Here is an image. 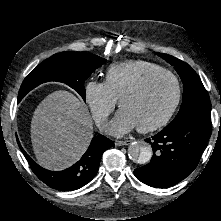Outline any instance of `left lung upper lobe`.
<instances>
[{"label": "left lung upper lobe", "instance_id": "1", "mask_svg": "<svg viewBox=\"0 0 221 221\" xmlns=\"http://www.w3.org/2000/svg\"><path fill=\"white\" fill-rule=\"evenodd\" d=\"M175 69L183 82V99L180 110L174 120L165 127L173 128L189 118L211 120V102L197 73L185 62L167 54L157 53Z\"/></svg>", "mask_w": 221, "mask_h": 221}]
</instances>
